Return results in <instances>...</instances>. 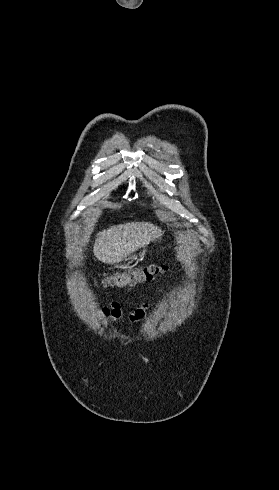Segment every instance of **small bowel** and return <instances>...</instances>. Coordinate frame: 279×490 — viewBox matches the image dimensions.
<instances>
[{
	"label": "small bowel",
	"instance_id": "1",
	"mask_svg": "<svg viewBox=\"0 0 279 490\" xmlns=\"http://www.w3.org/2000/svg\"><path fill=\"white\" fill-rule=\"evenodd\" d=\"M147 307L146 304L139 308H136L132 314L131 319L134 322H139L144 317V309ZM122 315L121 306L117 302H112L109 307L104 308L101 311L100 317L106 325H110L116 322Z\"/></svg>",
	"mask_w": 279,
	"mask_h": 490
}]
</instances>
